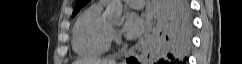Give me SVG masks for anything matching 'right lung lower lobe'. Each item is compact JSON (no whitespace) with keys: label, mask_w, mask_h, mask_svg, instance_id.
Wrapping results in <instances>:
<instances>
[{"label":"right lung lower lobe","mask_w":242,"mask_h":64,"mask_svg":"<svg viewBox=\"0 0 242 64\" xmlns=\"http://www.w3.org/2000/svg\"><path fill=\"white\" fill-rule=\"evenodd\" d=\"M156 14L161 21L162 39L166 53L157 64H172L186 51L190 36L189 12L186 0H157ZM128 64H137L136 58L126 60Z\"/></svg>","instance_id":"right-lung-lower-lobe-1"}]
</instances>
